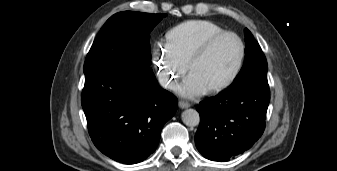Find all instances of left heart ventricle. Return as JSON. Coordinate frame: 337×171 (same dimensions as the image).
<instances>
[{
  "label": "left heart ventricle",
  "mask_w": 337,
  "mask_h": 171,
  "mask_svg": "<svg viewBox=\"0 0 337 171\" xmlns=\"http://www.w3.org/2000/svg\"><path fill=\"white\" fill-rule=\"evenodd\" d=\"M239 54V44L233 37L222 38L193 65L191 73L209 88L231 74Z\"/></svg>",
  "instance_id": "obj_1"
}]
</instances>
